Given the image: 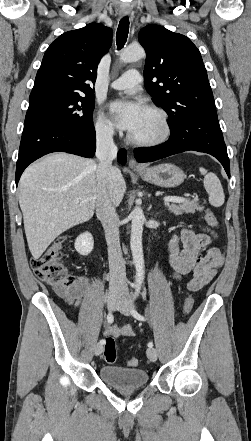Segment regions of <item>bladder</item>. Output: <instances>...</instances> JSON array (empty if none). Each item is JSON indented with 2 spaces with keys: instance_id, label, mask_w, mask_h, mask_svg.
I'll return each instance as SVG.
<instances>
[{
  "instance_id": "obj_1",
  "label": "bladder",
  "mask_w": 251,
  "mask_h": 441,
  "mask_svg": "<svg viewBox=\"0 0 251 441\" xmlns=\"http://www.w3.org/2000/svg\"><path fill=\"white\" fill-rule=\"evenodd\" d=\"M99 376L104 383L116 389L139 388L149 382L148 372L139 368L105 365L100 368Z\"/></svg>"
}]
</instances>
